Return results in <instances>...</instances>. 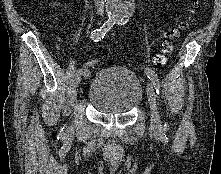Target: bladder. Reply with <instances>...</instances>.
<instances>
[{"instance_id":"bladder-1","label":"bladder","mask_w":221,"mask_h":174,"mask_svg":"<svg viewBox=\"0 0 221 174\" xmlns=\"http://www.w3.org/2000/svg\"><path fill=\"white\" fill-rule=\"evenodd\" d=\"M143 96V87L130 69L109 66L100 69L92 78L87 99L99 112L125 114L136 108Z\"/></svg>"}]
</instances>
